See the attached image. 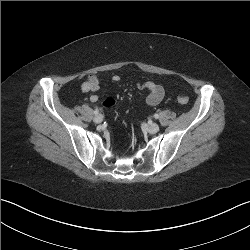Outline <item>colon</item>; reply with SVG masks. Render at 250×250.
Here are the masks:
<instances>
[{"instance_id":"obj_1","label":"colon","mask_w":250,"mask_h":250,"mask_svg":"<svg viewBox=\"0 0 250 250\" xmlns=\"http://www.w3.org/2000/svg\"><path fill=\"white\" fill-rule=\"evenodd\" d=\"M178 101L182 104H185L189 101V97L186 96V95H179L178 96ZM114 100L113 99H107L104 101V106L106 107H110V106H113L114 105Z\"/></svg>"}]
</instances>
